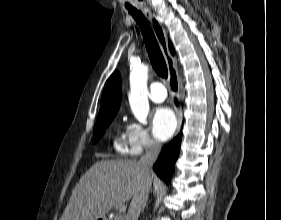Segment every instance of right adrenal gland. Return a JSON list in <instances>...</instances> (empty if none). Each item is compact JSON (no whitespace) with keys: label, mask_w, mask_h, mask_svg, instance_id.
<instances>
[{"label":"right adrenal gland","mask_w":281,"mask_h":220,"mask_svg":"<svg viewBox=\"0 0 281 220\" xmlns=\"http://www.w3.org/2000/svg\"><path fill=\"white\" fill-rule=\"evenodd\" d=\"M146 204H147V200L145 201L143 207H142V210H144V208L146 207Z\"/></svg>","instance_id":"1"}]
</instances>
